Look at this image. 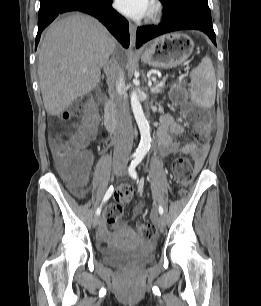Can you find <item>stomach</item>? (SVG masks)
I'll list each match as a JSON object with an SVG mask.
<instances>
[{"mask_svg": "<svg viewBox=\"0 0 261 306\" xmlns=\"http://www.w3.org/2000/svg\"><path fill=\"white\" fill-rule=\"evenodd\" d=\"M193 41L184 33H169L151 41L141 52V60L155 68L170 69L192 54Z\"/></svg>", "mask_w": 261, "mask_h": 306, "instance_id": "obj_1", "label": "stomach"}]
</instances>
